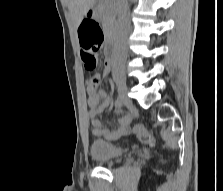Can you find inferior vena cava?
Instances as JSON below:
<instances>
[{"label":"inferior vena cava","instance_id":"1","mask_svg":"<svg viewBox=\"0 0 223 191\" xmlns=\"http://www.w3.org/2000/svg\"><path fill=\"white\" fill-rule=\"evenodd\" d=\"M116 11L118 17V32L115 39V57L113 63V73L119 71L120 61L126 57L125 40L130 28L129 7L127 0H116Z\"/></svg>","mask_w":223,"mask_h":191}]
</instances>
